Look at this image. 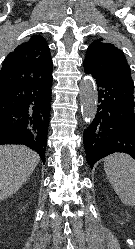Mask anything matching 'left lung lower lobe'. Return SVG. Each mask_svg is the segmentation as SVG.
I'll return each instance as SVG.
<instances>
[{
	"mask_svg": "<svg viewBox=\"0 0 135 249\" xmlns=\"http://www.w3.org/2000/svg\"><path fill=\"white\" fill-rule=\"evenodd\" d=\"M84 70L98 91L97 112L83 136L88 165L116 152L135 159L134 85Z\"/></svg>",
	"mask_w": 135,
	"mask_h": 249,
	"instance_id": "1",
	"label": "left lung lower lobe"
}]
</instances>
